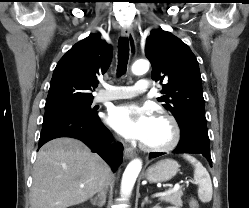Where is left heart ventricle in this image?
<instances>
[{"mask_svg": "<svg viewBox=\"0 0 249 208\" xmlns=\"http://www.w3.org/2000/svg\"><path fill=\"white\" fill-rule=\"evenodd\" d=\"M171 137V130L168 124L162 120L154 119L151 133L145 143L151 145H162Z\"/></svg>", "mask_w": 249, "mask_h": 208, "instance_id": "b2bd125f", "label": "left heart ventricle"}]
</instances>
